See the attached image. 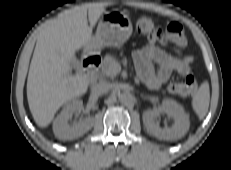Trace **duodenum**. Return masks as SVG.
Here are the masks:
<instances>
[{
  "instance_id": "1",
  "label": "duodenum",
  "mask_w": 231,
  "mask_h": 170,
  "mask_svg": "<svg viewBox=\"0 0 231 170\" xmlns=\"http://www.w3.org/2000/svg\"><path fill=\"white\" fill-rule=\"evenodd\" d=\"M101 63V57L96 54H86L82 60V66L90 76H93L95 74V72L99 69Z\"/></svg>"
}]
</instances>
